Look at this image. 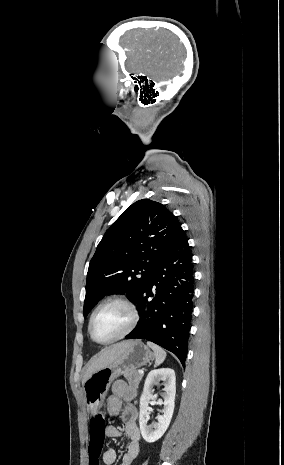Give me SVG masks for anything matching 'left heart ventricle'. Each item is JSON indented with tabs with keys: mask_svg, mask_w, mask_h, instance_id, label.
Segmentation results:
<instances>
[{
	"mask_svg": "<svg viewBox=\"0 0 284 465\" xmlns=\"http://www.w3.org/2000/svg\"><path fill=\"white\" fill-rule=\"evenodd\" d=\"M130 323V314L122 306L102 308L92 322V335L98 341H108L122 334Z\"/></svg>",
	"mask_w": 284,
	"mask_h": 465,
	"instance_id": "obj_1",
	"label": "left heart ventricle"
}]
</instances>
